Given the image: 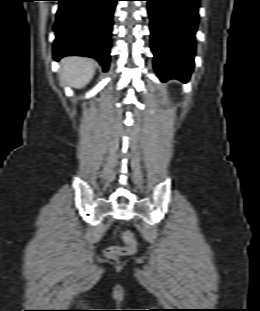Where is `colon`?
<instances>
[{
    "label": "colon",
    "instance_id": "obj_1",
    "mask_svg": "<svg viewBox=\"0 0 260 311\" xmlns=\"http://www.w3.org/2000/svg\"><path fill=\"white\" fill-rule=\"evenodd\" d=\"M122 237L124 242L126 243V246H113L108 248L106 250L107 256L111 258H117L119 256L131 255L135 253L137 249V243L134 235L129 231H125Z\"/></svg>",
    "mask_w": 260,
    "mask_h": 311
}]
</instances>
